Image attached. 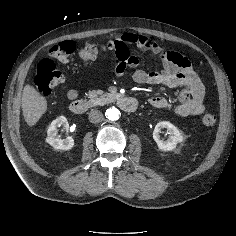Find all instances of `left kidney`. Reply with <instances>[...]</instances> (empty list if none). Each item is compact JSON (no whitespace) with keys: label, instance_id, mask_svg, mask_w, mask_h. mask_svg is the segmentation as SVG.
I'll use <instances>...</instances> for the list:
<instances>
[{"label":"left kidney","instance_id":"obj_1","mask_svg":"<svg viewBox=\"0 0 236 236\" xmlns=\"http://www.w3.org/2000/svg\"><path fill=\"white\" fill-rule=\"evenodd\" d=\"M167 129L170 134L169 139L163 141L160 138V132L162 129ZM153 139L156 142L158 148L162 151H172L176 148L178 143L183 141V135L181 131L175 127L172 123L167 121H162L157 123L153 132Z\"/></svg>","mask_w":236,"mask_h":236}]
</instances>
